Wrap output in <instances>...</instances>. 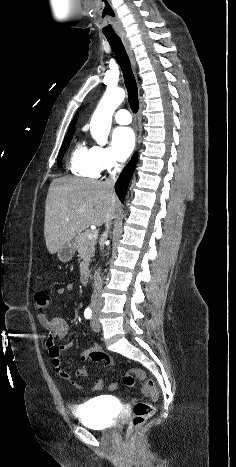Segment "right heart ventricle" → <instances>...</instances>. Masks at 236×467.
I'll list each match as a JSON object with an SVG mask.
<instances>
[{"mask_svg":"<svg viewBox=\"0 0 236 467\" xmlns=\"http://www.w3.org/2000/svg\"><path fill=\"white\" fill-rule=\"evenodd\" d=\"M69 166L71 172L79 177L98 178L100 174L93 163L91 148L81 142L74 146Z\"/></svg>","mask_w":236,"mask_h":467,"instance_id":"obj_1","label":"right heart ventricle"}]
</instances>
